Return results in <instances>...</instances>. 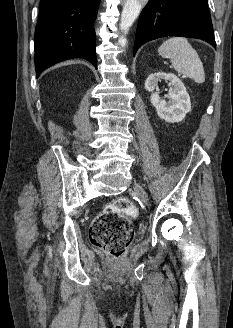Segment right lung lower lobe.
I'll return each instance as SVG.
<instances>
[{
  "mask_svg": "<svg viewBox=\"0 0 233 328\" xmlns=\"http://www.w3.org/2000/svg\"><path fill=\"white\" fill-rule=\"evenodd\" d=\"M100 0H41L35 29L37 77L48 67L85 58L95 67L94 21Z\"/></svg>",
  "mask_w": 233,
  "mask_h": 328,
  "instance_id": "obj_1",
  "label": "right lung lower lobe"
}]
</instances>
